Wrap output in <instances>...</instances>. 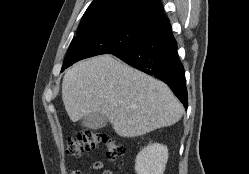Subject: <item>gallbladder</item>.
Here are the masks:
<instances>
[{"mask_svg": "<svg viewBox=\"0 0 249 174\" xmlns=\"http://www.w3.org/2000/svg\"><path fill=\"white\" fill-rule=\"evenodd\" d=\"M108 122L105 115L101 113H90L83 118L82 125L90 129H100L104 127Z\"/></svg>", "mask_w": 249, "mask_h": 174, "instance_id": "bac80fb5", "label": "gallbladder"}]
</instances>
